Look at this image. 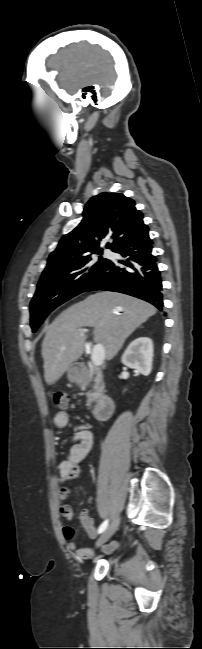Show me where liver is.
Returning a JSON list of instances; mask_svg holds the SVG:
<instances>
[{"instance_id": "obj_1", "label": "liver", "mask_w": 202, "mask_h": 649, "mask_svg": "<svg viewBox=\"0 0 202 649\" xmlns=\"http://www.w3.org/2000/svg\"><path fill=\"white\" fill-rule=\"evenodd\" d=\"M156 312L145 301L107 291L68 307L48 326L42 342L46 383L54 384L82 356L86 340L83 327L94 328L95 342L103 345L105 357L111 360L135 328Z\"/></svg>"}]
</instances>
